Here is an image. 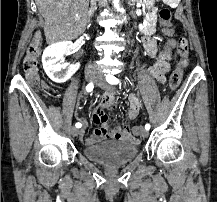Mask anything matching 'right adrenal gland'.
Returning a JSON list of instances; mask_svg holds the SVG:
<instances>
[{
  "instance_id": "right-adrenal-gland-1",
  "label": "right adrenal gland",
  "mask_w": 217,
  "mask_h": 202,
  "mask_svg": "<svg viewBox=\"0 0 217 202\" xmlns=\"http://www.w3.org/2000/svg\"><path fill=\"white\" fill-rule=\"evenodd\" d=\"M95 10H97V8H96V2H94V4H92V6H91V8H90V10L88 12V18H87V20H89V22H90V18H92V16H94Z\"/></svg>"
}]
</instances>
